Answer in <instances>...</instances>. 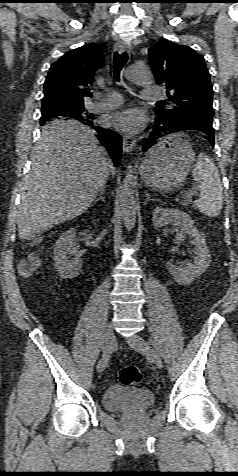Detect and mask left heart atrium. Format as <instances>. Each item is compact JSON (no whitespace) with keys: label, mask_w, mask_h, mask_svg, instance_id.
Here are the masks:
<instances>
[{"label":"left heart atrium","mask_w":238,"mask_h":476,"mask_svg":"<svg viewBox=\"0 0 238 476\" xmlns=\"http://www.w3.org/2000/svg\"><path fill=\"white\" fill-rule=\"evenodd\" d=\"M108 120L119 130L130 134L139 132L144 126V117L137 109H128L115 113Z\"/></svg>","instance_id":"left-heart-atrium-1"}]
</instances>
